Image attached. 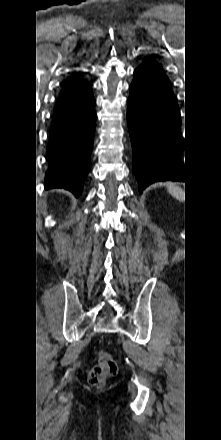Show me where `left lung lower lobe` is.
I'll return each instance as SVG.
<instances>
[{"mask_svg": "<svg viewBox=\"0 0 221 440\" xmlns=\"http://www.w3.org/2000/svg\"><path fill=\"white\" fill-rule=\"evenodd\" d=\"M127 121L139 191L157 181L186 182L179 158L184 146L180 109L162 66L152 59L134 71Z\"/></svg>", "mask_w": 221, "mask_h": 440, "instance_id": "left-lung-lower-lobe-1", "label": "left lung lower lobe"}]
</instances>
